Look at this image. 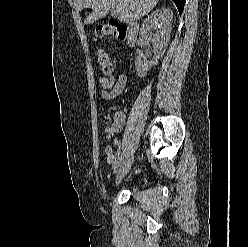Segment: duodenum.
Here are the masks:
<instances>
[{
	"label": "duodenum",
	"instance_id": "obj_1",
	"mask_svg": "<svg viewBox=\"0 0 248 247\" xmlns=\"http://www.w3.org/2000/svg\"><path fill=\"white\" fill-rule=\"evenodd\" d=\"M116 26L125 32V38L128 45L133 46L137 39L138 25L134 22L122 23L118 21Z\"/></svg>",
	"mask_w": 248,
	"mask_h": 247
}]
</instances>
